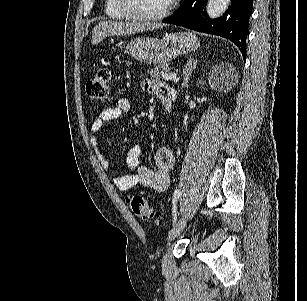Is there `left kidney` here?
<instances>
[{"label": "left kidney", "instance_id": "5707ae66", "mask_svg": "<svg viewBox=\"0 0 307 301\" xmlns=\"http://www.w3.org/2000/svg\"><path fill=\"white\" fill-rule=\"evenodd\" d=\"M219 76H221L223 80H219ZM234 76H236V70L232 64H216L208 76V82L211 88H220V90H224L226 86L228 90L233 84Z\"/></svg>", "mask_w": 307, "mask_h": 301}]
</instances>
